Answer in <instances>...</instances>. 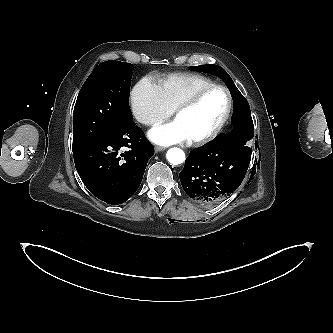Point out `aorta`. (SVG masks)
I'll return each mask as SVG.
<instances>
[{"mask_svg": "<svg viewBox=\"0 0 333 333\" xmlns=\"http://www.w3.org/2000/svg\"><path fill=\"white\" fill-rule=\"evenodd\" d=\"M166 158L169 163L178 165L185 161V153L180 148H170L167 151Z\"/></svg>", "mask_w": 333, "mask_h": 333, "instance_id": "1", "label": "aorta"}]
</instances>
